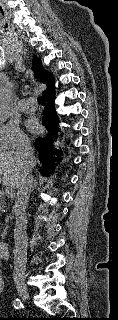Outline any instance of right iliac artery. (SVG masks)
<instances>
[{
    "instance_id": "right-iliac-artery-1",
    "label": "right iliac artery",
    "mask_w": 118,
    "mask_h": 320,
    "mask_svg": "<svg viewBox=\"0 0 118 320\" xmlns=\"http://www.w3.org/2000/svg\"><path fill=\"white\" fill-rule=\"evenodd\" d=\"M13 306H14V308H16V309H20V308L23 307V304H22V302H21L20 299L16 298V299L13 301Z\"/></svg>"
}]
</instances>
